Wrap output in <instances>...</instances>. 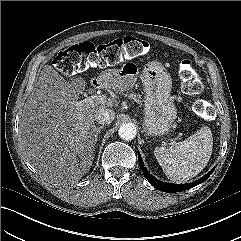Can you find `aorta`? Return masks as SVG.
Listing matches in <instances>:
<instances>
[{
  "mask_svg": "<svg viewBox=\"0 0 241 241\" xmlns=\"http://www.w3.org/2000/svg\"><path fill=\"white\" fill-rule=\"evenodd\" d=\"M118 134L123 140H132L136 136V127L132 123L122 124L118 130Z\"/></svg>",
  "mask_w": 241,
  "mask_h": 241,
  "instance_id": "762f6f07",
  "label": "aorta"
}]
</instances>
